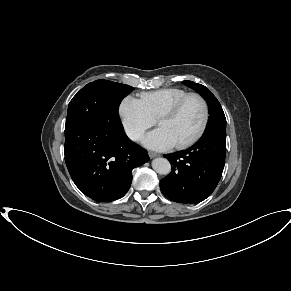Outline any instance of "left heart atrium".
Here are the masks:
<instances>
[{"mask_svg":"<svg viewBox=\"0 0 291 291\" xmlns=\"http://www.w3.org/2000/svg\"><path fill=\"white\" fill-rule=\"evenodd\" d=\"M143 144L147 148L160 151L168 150L176 145L175 142L167 134V132L162 128H158L148 133L143 138Z\"/></svg>","mask_w":291,"mask_h":291,"instance_id":"1","label":"left heart atrium"}]
</instances>
